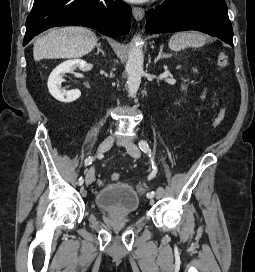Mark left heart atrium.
<instances>
[{
	"mask_svg": "<svg viewBox=\"0 0 255 272\" xmlns=\"http://www.w3.org/2000/svg\"><path fill=\"white\" fill-rule=\"evenodd\" d=\"M130 1L142 2V1H146V0H130Z\"/></svg>",
	"mask_w": 255,
	"mask_h": 272,
	"instance_id": "1",
	"label": "left heart atrium"
}]
</instances>
